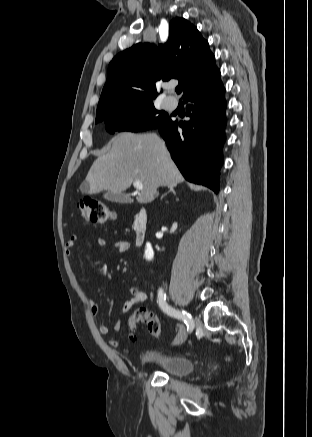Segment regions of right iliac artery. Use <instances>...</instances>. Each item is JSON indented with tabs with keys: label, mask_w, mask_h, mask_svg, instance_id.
Wrapping results in <instances>:
<instances>
[{
	"label": "right iliac artery",
	"mask_w": 312,
	"mask_h": 437,
	"mask_svg": "<svg viewBox=\"0 0 312 437\" xmlns=\"http://www.w3.org/2000/svg\"><path fill=\"white\" fill-rule=\"evenodd\" d=\"M158 304L163 312H165L169 316L183 320L187 326V330L192 331V329L194 328V325H193V319H192L191 315L185 313L184 311L181 312V311L176 310V309L172 308L171 306H169L166 302V294L163 292V290L161 288L158 291Z\"/></svg>",
	"instance_id": "1"
}]
</instances>
